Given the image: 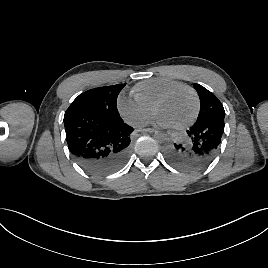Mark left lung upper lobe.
I'll return each mask as SVG.
<instances>
[{
    "label": "left lung upper lobe",
    "mask_w": 268,
    "mask_h": 268,
    "mask_svg": "<svg viewBox=\"0 0 268 268\" xmlns=\"http://www.w3.org/2000/svg\"><path fill=\"white\" fill-rule=\"evenodd\" d=\"M194 88L200 98V112L194 124L200 122L217 123L215 120L225 117L223 105L213 93L199 84H194Z\"/></svg>",
    "instance_id": "obj_1"
}]
</instances>
